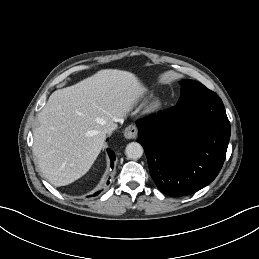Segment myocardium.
Listing matches in <instances>:
<instances>
[{"label":"myocardium","mask_w":259,"mask_h":259,"mask_svg":"<svg viewBox=\"0 0 259 259\" xmlns=\"http://www.w3.org/2000/svg\"><path fill=\"white\" fill-rule=\"evenodd\" d=\"M162 102L160 98L152 99L147 105L146 112L151 113L159 110L161 108Z\"/></svg>","instance_id":"f54148a6"}]
</instances>
